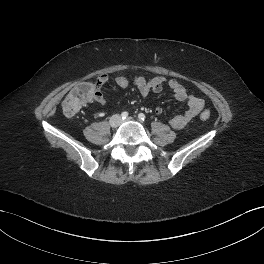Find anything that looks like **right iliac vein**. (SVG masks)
Masks as SVG:
<instances>
[{"label":"right iliac vein","instance_id":"right-iliac-vein-1","mask_svg":"<svg viewBox=\"0 0 264 264\" xmlns=\"http://www.w3.org/2000/svg\"><path fill=\"white\" fill-rule=\"evenodd\" d=\"M121 122V119H120V116L119 115H113L111 118H110V125L111 127H117Z\"/></svg>","mask_w":264,"mask_h":264}]
</instances>
